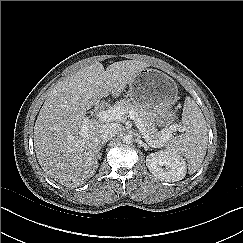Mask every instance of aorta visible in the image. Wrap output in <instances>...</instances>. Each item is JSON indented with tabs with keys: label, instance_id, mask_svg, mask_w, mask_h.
Here are the masks:
<instances>
[{
	"label": "aorta",
	"instance_id": "1",
	"mask_svg": "<svg viewBox=\"0 0 243 243\" xmlns=\"http://www.w3.org/2000/svg\"><path fill=\"white\" fill-rule=\"evenodd\" d=\"M134 140L133 136L131 134H124L122 136V141L126 144H130L132 143Z\"/></svg>",
	"mask_w": 243,
	"mask_h": 243
}]
</instances>
